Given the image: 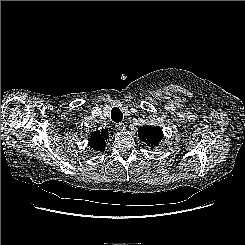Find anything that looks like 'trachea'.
Listing matches in <instances>:
<instances>
[{
  "label": "trachea",
  "mask_w": 245,
  "mask_h": 245,
  "mask_svg": "<svg viewBox=\"0 0 245 245\" xmlns=\"http://www.w3.org/2000/svg\"><path fill=\"white\" fill-rule=\"evenodd\" d=\"M111 119L116 123L121 122L123 119V114L121 110L116 107L113 108L111 111Z\"/></svg>",
  "instance_id": "1"
}]
</instances>
